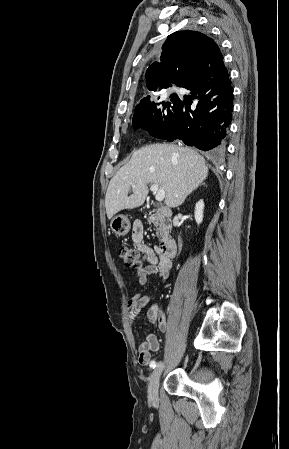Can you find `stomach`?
<instances>
[{"mask_svg": "<svg viewBox=\"0 0 289 449\" xmlns=\"http://www.w3.org/2000/svg\"><path fill=\"white\" fill-rule=\"evenodd\" d=\"M110 227L116 235L125 236L130 231L131 225L127 216L119 214L111 220Z\"/></svg>", "mask_w": 289, "mask_h": 449, "instance_id": "stomach-1", "label": "stomach"}]
</instances>
